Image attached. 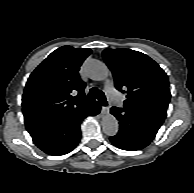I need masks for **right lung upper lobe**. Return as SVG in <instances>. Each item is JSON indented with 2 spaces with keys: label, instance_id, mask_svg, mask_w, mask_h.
I'll return each mask as SVG.
<instances>
[{
  "label": "right lung upper lobe",
  "instance_id": "1",
  "mask_svg": "<svg viewBox=\"0 0 194 193\" xmlns=\"http://www.w3.org/2000/svg\"><path fill=\"white\" fill-rule=\"evenodd\" d=\"M90 53L88 48L63 46L33 71L22 97L27 129L61 119L93 102L83 98L86 84L78 74Z\"/></svg>",
  "mask_w": 194,
  "mask_h": 193
}]
</instances>
